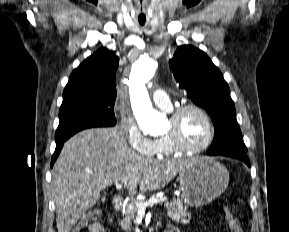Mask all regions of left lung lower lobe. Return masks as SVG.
Returning a JSON list of instances; mask_svg holds the SVG:
<instances>
[{
  "instance_id": "left-lung-lower-lobe-1",
  "label": "left lung lower lobe",
  "mask_w": 289,
  "mask_h": 232,
  "mask_svg": "<svg viewBox=\"0 0 289 232\" xmlns=\"http://www.w3.org/2000/svg\"><path fill=\"white\" fill-rule=\"evenodd\" d=\"M217 155H222V156H227V157H232V158L242 160L250 167V162L245 152H236V153L228 152V153H221Z\"/></svg>"
}]
</instances>
